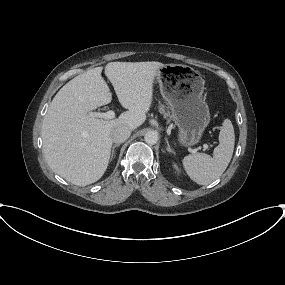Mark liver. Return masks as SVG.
Instances as JSON below:
<instances>
[{
	"label": "liver",
	"instance_id": "obj_1",
	"mask_svg": "<svg viewBox=\"0 0 285 285\" xmlns=\"http://www.w3.org/2000/svg\"><path fill=\"white\" fill-rule=\"evenodd\" d=\"M160 62H110L105 75L119 102L128 109L114 120L91 117L92 110L111 102L101 76L102 67L90 69L66 83L53 98L43 118V152L50 168L68 182L86 186L105 173L112 148L111 130L131 131L146 120L153 98V83Z\"/></svg>",
	"mask_w": 285,
	"mask_h": 285
}]
</instances>
